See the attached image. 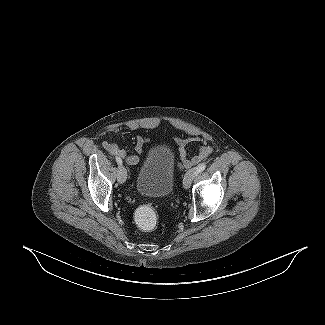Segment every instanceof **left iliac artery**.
I'll use <instances>...</instances> for the list:
<instances>
[{"mask_svg":"<svg viewBox=\"0 0 325 325\" xmlns=\"http://www.w3.org/2000/svg\"><path fill=\"white\" fill-rule=\"evenodd\" d=\"M205 168H206V163H202V164H200V165L196 168V172H195L196 176H197L199 173H201L202 171H204Z\"/></svg>","mask_w":325,"mask_h":325,"instance_id":"left-iliac-artery-1","label":"left iliac artery"}]
</instances>
